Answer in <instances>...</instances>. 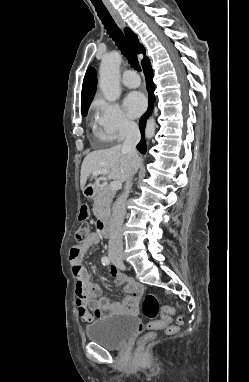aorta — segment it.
Listing matches in <instances>:
<instances>
[{"label": "aorta", "instance_id": "obj_1", "mask_svg": "<svg viewBox=\"0 0 249 382\" xmlns=\"http://www.w3.org/2000/svg\"><path fill=\"white\" fill-rule=\"evenodd\" d=\"M121 60V54L118 51H112L102 59L100 64L99 87L104 98L109 102L116 101L121 95L119 84ZM155 128V120L149 118L146 123L145 137L148 139L152 138L155 133Z\"/></svg>", "mask_w": 249, "mask_h": 382}]
</instances>
